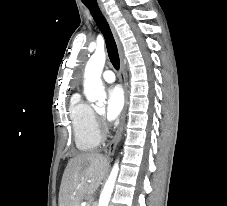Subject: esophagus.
Here are the masks:
<instances>
[{
	"label": "esophagus",
	"mask_w": 227,
	"mask_h": 206,
	"mask_svg": "<svg viewBox=\"0 0 227 206\" xmlns=\"http://www.w3.org/2000/svg\"><path fill=\"white\" fill-rule=\"evenodd\" d=\"M99 6H100V9L101 11L103 12V14L105 15L108 23L110 24V27L114 33V36H115V39H116V43H117V46H118V51H119V56H120V81L122 83V86H123V89H124V108H123V111H122V114H121V121H120V124H119V127L116 131V134L114 136V138L112 139L110 145H109V149H108V157L112 156L114 154V151L116 149V146L117 144L119 143L120 141V138H121V134H122V131H123V127H124V122H125V114H126V109H127V86H126V82H125V73H124V67H125V61H124V54H123V50H122V46L115 34V31H114V28L107 16V14L105 13V10H104V7L101 3H99Z\"/></svg>",
	"instance_id": "34e87169"
}]
</instances>
